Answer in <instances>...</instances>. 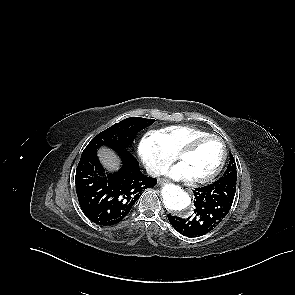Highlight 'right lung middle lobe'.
I'll return each instance as SVG.
<instances>
[{
	"instance_id": "dd1d6c3e",
	"label": "right lung middle lobe",
	"mask_w": 295,
	"mask_h": 295,
	"mask_svg": "<svg viewBox=\"0 0 295 295\" xmlns=\"http://www.w3.org/2000/svg\"><path fill=\"white\" fill-rule=\"evenodd\" d=\"M155 122V119L130 117L114 124L96 135L84 149L81 159L95 155L101 146H109L116 152L130 151L136 134Z\"/></svg>"
}]
</instances>
